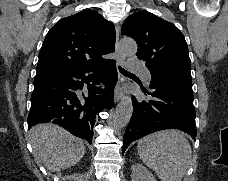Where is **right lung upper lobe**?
Instances as JSON below:
<instances>
[{"label": "right lung upper lobe", "mask_w": 228, "mask_h": 181, "mask_svg": "<svg viewBox=\"0 0 228 181\" xmlns=\"http://www.w3.org/2000/svg\"><path fill=\"white\" fill-rule=\"evenodd\" d=\"M115 50L114 26L94 10L61 19L48 32L36 76L102 61Z\"/></svg>", "instance_id": "right-lung-upper-lobe-1"}]
</instances>
